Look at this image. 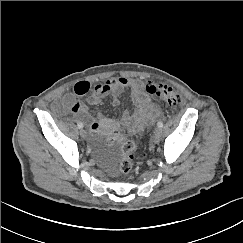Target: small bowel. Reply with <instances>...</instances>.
<instances>
[{
	"instance_id": "c3829d8e",
	"label": "small bowel",
	"mask_w": 243,
	"mask_h": 243,
	"mask_svg": "<svg viewBox=\"0 0 243 243\" xmlns=\"http://www.w3.org/2000/svg\"><path fill=\"white\" fill-rule=\"evenodd\" d=\"M144 87L143 81L126 77L109 78L96 85L80 81L74 85V93L60 98L57 108L71 109L75 117L90 120V133L104 136L105 142L113 145L122 140L126 133L141 134L146 125L153 124L161 116L160 107L144 92ZM125 90H129L134 107L132 110H125L120 119L105 117L100 111L91 117L88 107L76 98L86 95L87 103L96 105L109 96L112 104L118 106L120 95Z\"/></svg>"
}]
</instances>
